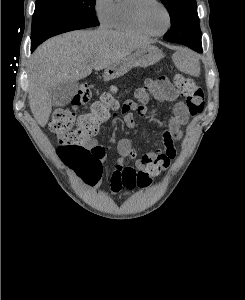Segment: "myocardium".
I'll use <instances>...</instances> for the list:
<instances>
[{
  "instance_id": "1",
  "label": "myocardium",
  "mask_w": 245,
  "mask_h": 300,
  "mask_svg": "<svg viewBox=\"0 0 245 300\" xmlns=\"http://www.w3.org/2000/svg\"><path fill=\"white\" fill-rule=\"evenodd\" d=\"M149 3H154L160 6L166 15V19H167L166 26L160 31H152L145 24L144 10L147 4ZM134 19L143 32L152 36H159L165 33L170 28L172 22L171 13L168 7L161 0H137V3L134 6Z\"/></svg>"
}]
</instances>
